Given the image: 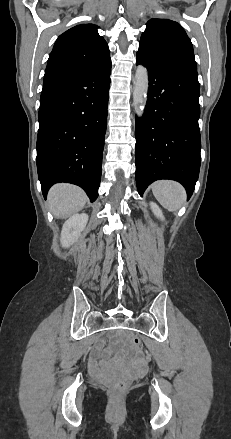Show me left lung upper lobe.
<instances>
[{
    "label": "left lung upper lobe",
    "instance_id": "left-lung-upper-lobe-1",
    "mask_svg": "<svg viewBox=\"0 0 231 439\" xmlns=\"http://www.w3.org/2000/svg\"><path fill=\"white\" fill-rule=\"evenodd\" d=\"M137 54L156 64L197 71L191 40L172 20H149Z\"/></svg>",
    "mask_w": 231,
    "mask_h": 439
}]
</instances>
